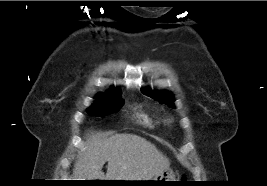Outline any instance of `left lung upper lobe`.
Wrapping results in <instances>:
<instances>
[{
	"label": "left lung upper lobe",
	"instance_id": "left-lung-upper-lobe-1",
	"mask_svg": "<svg viewBox=\"0 0 267 186\" xmlns=\"http://www.w3.org/2000/svg\"><path fill=\"white\" fill-rule=\"evenodd\" d=\"M142 93L159 101L161 104H167L168 106L173 107V95L170 92L161 91V92H153L149 90V88L141 89Z\"/></svg>",
	"mask_w": 267,
	"mask_h": 186
}]
</instances>
